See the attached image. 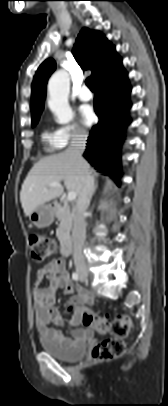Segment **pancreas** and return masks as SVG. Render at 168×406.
Here are the masks:
<instances>
[{
  "mask_svg": "<svg viewBox=\"0 0 168 406\" xmlns=\"http://www.w3.org/2000/svg\"><path fill=\"white\" fill-rule=\"evenodd\" d=\"M74 208L64 201L63 205H58L55 210L56 217L60 221L59 227L56 231V236L59 240L64 239L71 230L72 218H73Z\"/></svg>",
  "mask_w": 168,
  "mask_h": 406,
  "instance_id": "pancreas-1",
  "label": "pancreas"
}]
</instances>
